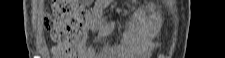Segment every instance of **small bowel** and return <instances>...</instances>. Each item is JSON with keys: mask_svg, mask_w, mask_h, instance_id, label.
<instances>
[{"mask_svg": "<svg viewBox=\"0 0 225 58\" xmlns=\"http://www.w3.org/2000/svg\"><path fill=\"white\" fill-rule=\"evenodd\" d=\"M111 3L112 0H96L93 6L85 11L82 37L75 47L78 58H129L131 52L148 53L157 47L155 36L160 23V13L159 9L152 8H149L152 11V16L142 29V41L136 43L132 48L111 44L101 46L104 39L121 25L117 21H109L104 15V10ZM92 32H95L97 36L89 45V36Z\"/></svg>", "mask_w": 225, "mask_h": 58, "instance_id": "small-bowel-1", "label": "small bowel"}]
</instances>
